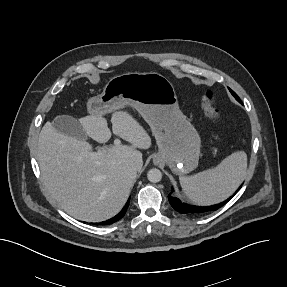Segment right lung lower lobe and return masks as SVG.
Instances as JSON below:
<instances>
[{
    "instance_id": "1",
    "label": "right lung lower lobe",
    "mask_w": 287,
    "mask_h": 287,
    "mask_svg": "<svg viewBox=\"0 0 287 287\" xmlns=\"http://www.w3.org/2000/svg\"><path fill=\"white\" fill-rule=\"evenodd\" d=\"M128 206H129V201L126 203L125 207L121 210V212L119 214H117L115 217H113L107 221L101 222L99 224L100 225H110V224H113L114 222L120 220L125 215ZM94 224L98 225V223H94Z\"/></svg>"
}]
</instances>
